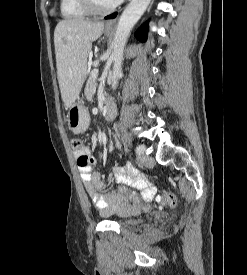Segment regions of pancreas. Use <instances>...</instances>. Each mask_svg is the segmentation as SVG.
I'll return each instance as SVG.
<instances>
[{"instance_id":"1","label":"pancreas","mask_w":247,"mask_h":275,"mask_svg":"<svg viewBox=\"0 0 247 275\" xmlns=\"http://www.w3.org/2000/svg\"><path fill=\"white\" fill-rule=\"evenodd\" d=\"M96 85V77H94L91 73V76L89 77L84 90V94L87 100H92V97L95 93Z\"/></svg>"}]
</instances>
